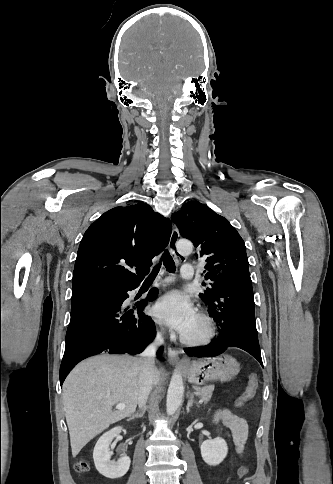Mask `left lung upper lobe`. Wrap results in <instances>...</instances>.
Masks as SVG:
<instances>
[{"label": "left lung upper lobe", "instance_id": "obj_1", "mask_svg": "<svg viewBox=\"0 0 333 484\" xmlns=\"http://www.w3.org/2000/svg\"><path fill=\"white\" fill-rule=\"evenodd\" d=\"M171 218L181 235L198 248V255L207 258L204 277L212 283L200 297L206 305L214 304L219 275L228 268L248 265L245 243L226 218L198 201L185 203Z\"/></svg>", "mask_w": 333, "mask_h": 484}]
</instances>
